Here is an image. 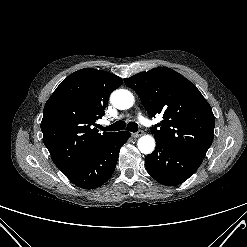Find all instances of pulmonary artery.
Listing matches in <instances>:
<instances>
[{"label": "pulmonary artery", "mask_w": 247, "mask_h": 247, "mask_svg": "<svg viewBox=\"0 0 247 247\" xmlns=\"http://www.w3.org/2000/svg\"><path fill=\"white\" fill-rule=\"evenodd\" d=\"M139 120H140V122L143 123L144 125H148V124H149V122H148L144 117H142V116H139Z\"/></svg>", "instance_id": "obj_1"}]
</instances>
